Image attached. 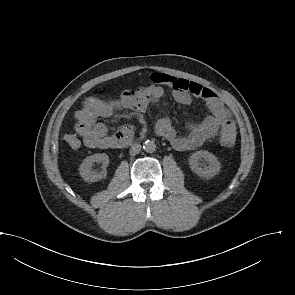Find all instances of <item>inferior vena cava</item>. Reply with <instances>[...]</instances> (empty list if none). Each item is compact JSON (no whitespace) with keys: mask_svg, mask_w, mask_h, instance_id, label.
Wrapping results in <instances>:
<instances>
[{"mask_svg":"<svg viewBox=\"0 0 295 295\" xmlns=\"http://www.w3.org/2000/svg\"><path fill=\"white\" fill-rule=\"evenodd\" d=\"M140 150H141V145L135 143V144H133L131 146L130 154L131 155H136V154H138L140 152Z\"/></svg>","mask_w":295,"mask_h":295,"instance_id":"602c4592","label":"inferior vena cava"}]
</instances>
